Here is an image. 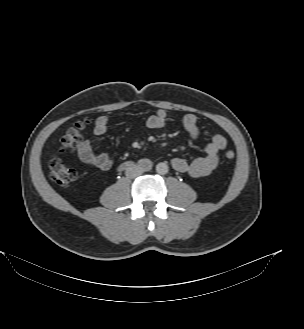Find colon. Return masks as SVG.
<instances>
[{
    "instance_id": "colon-1",
    "label": "colon",
    "mask_w": 304,
    "mask_h": 329,
    "mask_svg": "<svg viewBox=\"0 0 304 329\" xmlns=\"http://www.w3.org/2000/svg\"><path fill=\"white\" fill-rule=\"evenodd\" d=\"M88 121H80L66 131L60 139V152L72 151L76 144L81 140L83 133L87 129ZM225 159L231 161L235 158V152L232 149L224 151ZM51 178L60 186H67L78 178V172L75 168L65 164L60 158L54 157L50 162Z\"/></svg>"
}]
</instances>
